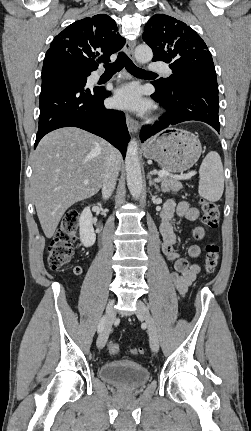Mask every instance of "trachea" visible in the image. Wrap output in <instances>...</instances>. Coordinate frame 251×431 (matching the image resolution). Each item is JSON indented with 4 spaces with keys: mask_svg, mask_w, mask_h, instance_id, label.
Returning <instances> with one entry per match:
<instances>
[{
    "mask_svg": "<svg viewBox=\"0 0 251 431\" xmlns=\"http://www.w3.org/2000/svg\"><path fill=\"white\" fill-rule=\"evenodd\" d=\"M124 67L129 73L134 76L155 75V73L153 72L145 71L141 68H138L123 52L119 53L118 58L114 63L104 65L105 73L111 75L121 71Z\"/></svg>",
    "mask_w": 251,
    "mask_h": 431,
    "instance_id": "trachea-1",
    "label": "trachea"
}]
</instances>
